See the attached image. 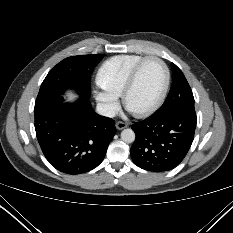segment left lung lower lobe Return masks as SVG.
<instances>
[{
    "label": "left lung lower lobe",
    "instance_id": "left-lung-lower-lobe-1",
    "mask_svg": "<svg viewBox=\"0 0 233 233\" xmlns=\"http://www.w3.org/2000/svg\"><path fill=\"white\" fill-rule=\"evenodd\" d=\"M196 122L195 109L182 108L133 124L136 135L130 150L133 162L153 172L175 168L190 149Z\"/></svg>",
    "mask_w": 233,
    "mask_h": 233
}]
</instances>
